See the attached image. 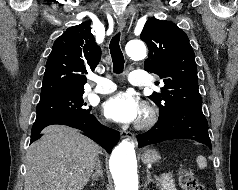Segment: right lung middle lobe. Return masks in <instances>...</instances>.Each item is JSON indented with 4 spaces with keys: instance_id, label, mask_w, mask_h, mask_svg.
Returning <instances> with one entry per match:
<instances>
[{
    "instance_id": "dd1d6c3e",
    "label": "right lung middle lobe",
    "mask_w": 238,
    "mask_h": 190,
    "mask_svg": "<svg viewBox=\"0 0 238 190\" xmlns=\"http://www.w3.org/2000/svg\"><path fill=\"white\" fill-rule=\"evenodd\" d=\"M83 93L61 94L40 98L37 105L36 120L90 114L91 107L89 109L85 108L86 103L82 99Z\"/></svg>"
}]
</instances>
